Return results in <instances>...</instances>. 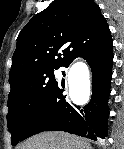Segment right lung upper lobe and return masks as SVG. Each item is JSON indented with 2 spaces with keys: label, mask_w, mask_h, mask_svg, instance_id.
I'll return each mask as SVG.
<instances>
[{
  "label": "right lung upper lobe",
  "mask_w": 124,
  "mask_h": 149,
  "mask_svg": "<svg viewBox=\"0 0 124 149\" xmlns=\"http://www.w3.org/2000/svg\"><path fill=\"white\" fill-rule=\"evenodd\" d=\"M110 38L106 19L94 0H54L32 17L17 38L11 88L37 72L69 66Z\"/></svg>",
  "instance_id": "cb5924a9"
}]
</instances>
